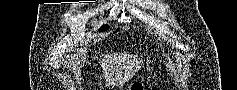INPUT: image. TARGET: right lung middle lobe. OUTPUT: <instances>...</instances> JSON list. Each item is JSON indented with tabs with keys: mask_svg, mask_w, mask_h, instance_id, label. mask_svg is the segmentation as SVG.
Returning a JSON list of instances; mask_svg holds the SVG:
<instances>
[{
	"mask_svg": "<svg viewBox=\"0 0 237 90\" xmlns=\"http://www.w3.org/2000/svg\"><path fill=\"white\" fill-rule=\"evenodd\" d=\"M109 29V25H104V26H102L100 29H99V31H105V30H108Z\"/></svg>",
	"mask_w": 237,
	"mask_h": 90,
	"instance_id": "right-lung-middle-lobe-1",
	"label": "right lung middle lobe"
}]
</instances>
